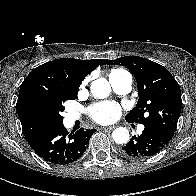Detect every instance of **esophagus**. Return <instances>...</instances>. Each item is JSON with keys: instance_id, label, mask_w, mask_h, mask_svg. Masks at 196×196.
Masks as SVG:
<instances>
[{"instance_id": "obj_1", "label": "esophagus", "mask_w": 196, "mask_h": 196, "mask_svg": "<svg viewBox=\"0 0 196 196\" xmlns=\"http://www.w3.org/2000/svg\"><path fill=\"white\" fill-rule=\"evenodd\" d=\"M104 130H113L114 126H109V127H103Z\"/></svg>"}]
</instances>
